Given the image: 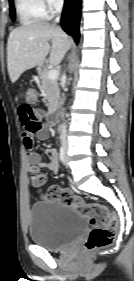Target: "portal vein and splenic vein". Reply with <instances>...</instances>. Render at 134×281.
I'll return each instance as SVG.
<instances>
[{
  "label": "portal vein and splenic vein",
  "mask_w": 134,
  "mask_h": 281,
  "mask_svg": "<svg viewBox=\"0 0 134 281\" xmlns=\"http://www.w3.org/2000/svg\"><path fill=\"white\" fill-rule=\"evenodd\" d=\"M48 77L50 79H56L58 77V71L56 69H51L49 72H48Z\"/></svg>",
  "instance_id": "obj_1"
}]
</instances>
